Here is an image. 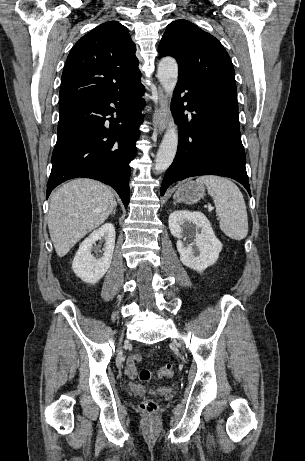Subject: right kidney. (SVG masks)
Instances as JSON below:
<instances>
[{
	"mask_svg": "<svg viewBox=\"0 0 305 461\" xmlns=\"http://www.w3.org/2000/svg\"><path fill=\"white\" fill-rule=\"evenodd\" d=\"M104 238V253L95 258L91 250L96 241ZM115 247V228L111 223L94 230L79 246L73 259L72 269L77 277L88 284L97 283L108 271Z\"/></svg>",
	"mask_w": 305,
	"mask_h": 461,
	"instance_id": "ca27d5eb",
	"label": "right kidney"
}]
</instances>
